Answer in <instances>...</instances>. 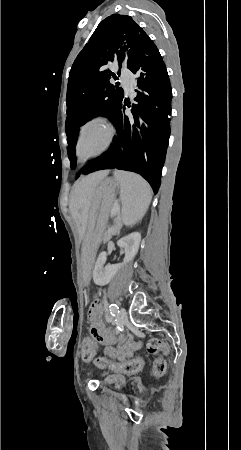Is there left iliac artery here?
I'll return each mask as SVG.
<instances>
[{
    "instance_id": "left-iliac-artery-1",
    "label": "left iliac artery",
    "mask_w": 241,
    "mask_h": 450,
    "mask_svg": "<svg viewBox=\"0 0 241 450\" xmlns=\"http://www.w3.org/2000/svg\"><path fill=\"white\" fill-rule=\"evenodd\" d=\"M109 309H110L111 315H113V316H117L118 315L119 307L115 303L110 304L109 305Z\"/></svg>"
}]
</instances>
